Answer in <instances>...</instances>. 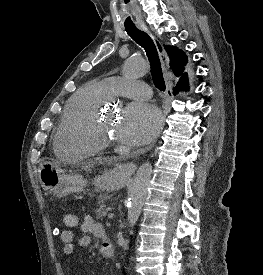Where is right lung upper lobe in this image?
Instances as JSON below:
<instances>
[{"instance_id":"right-lung-upper-lobe-1","label":"right lung upper lobe","mask_w":263,"mask_h":275,"mask_svg":"<svg viewBox=\"0 0 263 275\" xmlns=\"http://www.w3.org/2000/svg\"><path fill=\"white\" fill-rule=\"evenodd\" d=\"M165 49L170 58V67L175 75L179 77L178 83H181L187 76V73H183V67L187 63V56L177 47L167 45L165 46Z\"/></svg>"}]
</instances>
